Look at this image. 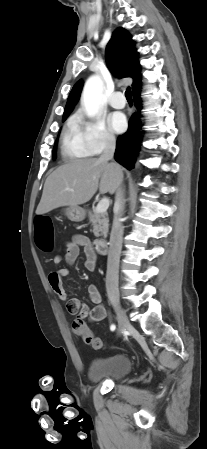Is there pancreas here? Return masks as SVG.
<instances>
[{"mask_svg":"<svg viewBox=\"0 0 207 449\" xmlns=\"http://www.w3.org/2000/svg\"><path fill=\"white\" fill-rule=\"evenodd\" d=\"M89 220L93 225V233L95 237H106L108 233L109 220L106 212L99 213L96 209L89 212Z\"/></svg>","mask_w":207,"mask_h":449,"instance_id":"1","label":"pancreas"}]
</instances>
